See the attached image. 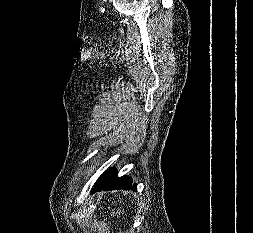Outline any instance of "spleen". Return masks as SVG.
Returning a JSON list of instances; mask_svg holds the SVG:
<instances>
[{"instance_id":"spleen-1","label":"spleen","mask_w":253,"mask_h":233,"mask_svg":"<svg viewBox=\"0 0 253 233\" xmlns=\"http://www.w3.org/2000/svg\"><path fill=\"white\" fill-rule=\"evenodd\" d=\"M113 214H115V212H113ZM116 214H121V211L118 210V211L116 212Z\"/></svg>"}]
</instances>
